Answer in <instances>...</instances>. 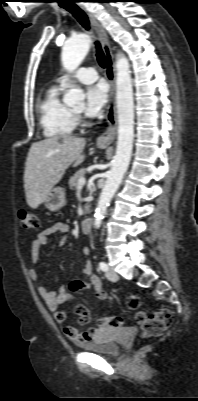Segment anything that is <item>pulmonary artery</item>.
<instances>
[{
    "label": "pulmonary artery",
    "instance_id": "obj_1",
    "mask_svg": "<svg viewBox=\"0 0 198 401\" xmlns=\"http://www.w3.org/2000/svg\"><path fill=\"white\" fill-rule=\"evenodd\" d=\"M75 78L84 84H90L96 81L98 78V73L93 68H81L75 75ZM69 80L68 75H63L59 78V83L61 86H65Z\"/></svg>",
    "mask_w": 198,
    "mask_h": 401
}]
</instances>
